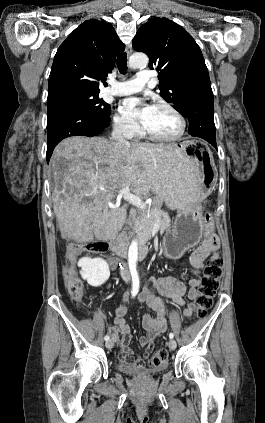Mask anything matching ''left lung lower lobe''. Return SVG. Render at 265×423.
<instances>
[{
	"label": "left lung lower lobe",
	"instance_id": "left-lung-lower-lobe-1",
	"mask_svg": "<svg viewBox=\"0 0 265 423\" xmlns=\"http://www.w3.org/2000/svg\"><path fill=\"white\" fill-rule=\"evenodd\" d=\"M181 114L189 120L190 135L206 140L217 149L211 83H202L185 96Z\"/></svg>",
	"mask_w": 265,
	"mask_h": 423
}]
</instances>
